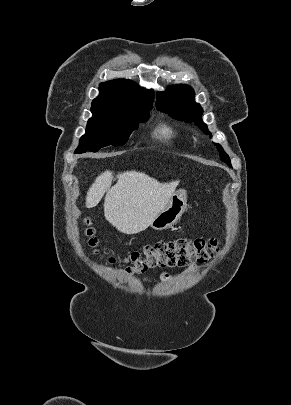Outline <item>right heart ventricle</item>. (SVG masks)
<instances>
[{
  "label": "right heart ventricle",
  "mask_w": 291,
  "mask_h": 405,
  "mask_svg": "<svg viewBox=\"0 0 291 405\" xmlns=\"http://www.w3.org/2000/svg\"><path fill=\"white\" fill-rule=\"evenodd\" d=\"M155 135L163 141H171L177 137V132L169 125L162 124L155 130Z\"/></svg>",
  "instance_id": "obj_1"
}]
</instances>
